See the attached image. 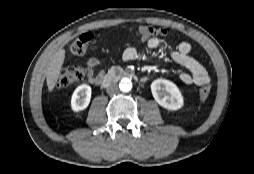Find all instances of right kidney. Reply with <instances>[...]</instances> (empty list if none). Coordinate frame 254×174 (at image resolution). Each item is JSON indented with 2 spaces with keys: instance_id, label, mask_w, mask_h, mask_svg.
Segmentation results:
<instances>
[{
  "instance_id": "ca27d5eb",
  "label": "right kidney",
  "mask_w": 254,
  "mask_h": 174,
  "mask_svg": "<svg viewBox=\"0 0 254 174\" xmlns=\"http://www.w3.org/2000/svg\"><path fill=\"white\" fill-rule=\"evenodd\" d=\"M91 99V87L87 84L78 86L73 92L71 99V108L78 112L88 107Z\"/></svg>"
}]
</instances>
